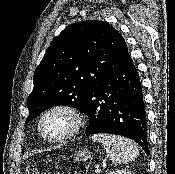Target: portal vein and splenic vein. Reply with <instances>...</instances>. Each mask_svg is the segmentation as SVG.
Here are the masks:
<instances>
[{"label":"portal vein and splenic vein","mask_w":175,"mask_h":174,"mask_svg":"<svg viewBox=\"0 0 175 174\" xmlns=\"http://www.w3.org/2000/svg\"><path fill=\"white\" fill-rule=\"evenodd\" d=\"M100 172H101L100 168H99V167H96L95 173H96V174H99Z\"/></svg>","instance_id":"portal-vein-and-splenic-vein-1"}]
</instances>
